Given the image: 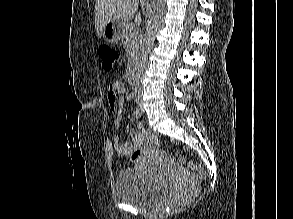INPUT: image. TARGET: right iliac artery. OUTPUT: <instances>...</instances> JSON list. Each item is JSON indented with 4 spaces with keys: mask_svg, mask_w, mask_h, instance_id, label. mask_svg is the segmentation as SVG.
<instances>
[{
    "mask_svg": "<svg viewBox=\"0 0 293 219\" xmlns=\"http://www.w3.org/2000/svg\"><path fill=\"white\" fill-rule=\"evenodd\" d=\"M134 116H135V118H140V117H141L140 109H136V110L134 111Z\"/></svg>",
    "mask_w": 293,
    "mask_h": 219,
    "instance_id": "82829eb1",
    "label": "right iliac artery"
}]
</instances>
